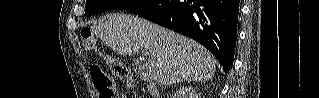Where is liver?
Returning a JSON list of instances; mask_svg holds the SVG:
<instances>
[{
    "mask_svg": "<svg viewBox=\"0 0 319 98\" xmlns=\"http://www.w3.org/2000/svg\"><path fill=\"white\" fill-rule=\"evenodd\" d=\"M91 30L118 54L148 51L154 58L152 76L160 85L206 82L215 74V60L203 46L137 16L111 14Z\"/></svg>",
    "mask_w": 319,
    "mask_h": 98,
    "instance_id": "6515ba94",
    "label": "liver"
}]
</instances>
